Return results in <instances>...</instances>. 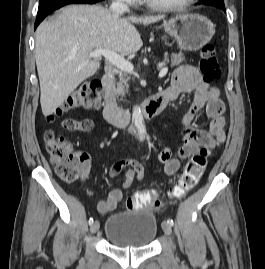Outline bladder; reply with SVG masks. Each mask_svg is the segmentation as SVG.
<instances>
[{"label": "bladder", "instance_id": "obj_1", "mask_svg": "<svg viewBox=\"0 0 265 269\" xmlns=\"http://www.w3.org/2000/svg\"><path fill=\"white\" fill-rule=\"evenodd\" d=\"M158 223L150 209L119 211L105 223L107 240L119 247H147L156 238Z\"/></svg>", "mask_w": 265, "mask_h": 269}]
</instances>
